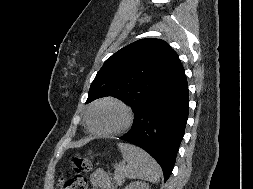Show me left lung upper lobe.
<instances>
[{
  "label": "left lung upper lobe",
  "instance_id": "left-lung-upper-lobe-1",
  "mask_svg": "<svg viewBox=\"0 0 253 189\" xmlns=\"http://www.w3.org/2000/svg\"><path fill=\"white\" fill-rule=\"evenodd\" d=\"M184 70L178 54L163 40H138L113 54L98 71L86 103L105 96L123 100L134 115Z\"/></svg>",
  "mask_w": 253,
  "mask_h": 189
}]
</instances>
